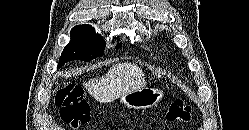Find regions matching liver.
Listing matches in <instances>:
<instances>
[{"mask_svg":"<svg viewBox=\"0 0 249 130\" xmlns=\"http://www.w3.org/2000/svg\"><path fill=\"white\" fill-rule=\"evenodd\" d=\"M146 84L141 68L131 63H118L101 78L90 79L85 87L95 100L105 103L145 87Z\"/></svg>","mask_w":249,"mask_h":130,"instance_id":"obj_1","label":"liver"}]
</instances>
